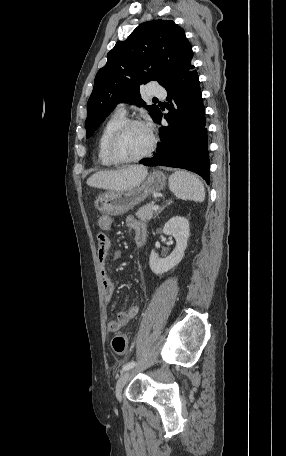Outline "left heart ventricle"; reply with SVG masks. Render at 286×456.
I'll return each mask as SVG.
<instances>
[{
  "label": "left heart ventricle",
  "instance_id": "b2bd125f",
  "mask_svg": "<svg viewBox=\"0 0 286 456\" xmlns=\"http://www.w3.org/2000/svg\"><path fill=\"white\" fill-rule=\"evenodd\" d=\"M149 144L150 137L145 127L130 126L120 136L116 151L123 158H135L145 153Z\"/></svg>",
  "mask_w": 286,
  "mask_h": 456
}]
</instances>
